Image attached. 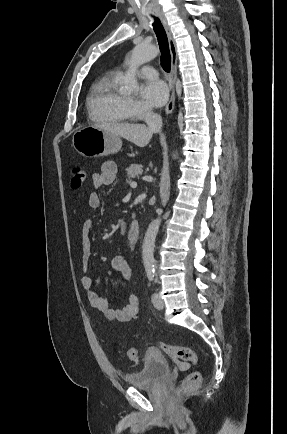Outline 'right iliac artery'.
Returning <instances> with one entry per match:
<instances>
[{
    "label": "right iliac artery",
    "mask_w": 287,
    "mask_h": 434,
    "mask_svg": "<svg viewBox=\"0 0 287 434\" xmlns=\"http://www.w3.org/2000/svg\"><path fill=\"white\" fill-rule=\"evenodd\" d=\"M147 277L150 281H154L155 280V273L154 272H149L147 274Z\"/></svg>",
    "instance_id": "obj_1"
}]
</instances>
